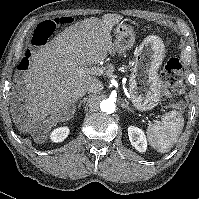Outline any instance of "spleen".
Masks as SVG:
<instances>
[{"instance_id": "spleen-1", "label": "spleen", "mask_w": 199, "mask_h": 199, "mask_svg": "<svg viewBox=\"0 0 199 199\" xmlns=\"http://www.w3.org/2000/svg\"><path fill=\"white\" fill-rule=\"evenodd\" d=\"M184 127V118L177 110L166 113L161 123L147 129L150 145L160 153H166L175 145Z\"/></svg>"}]
</instances>
